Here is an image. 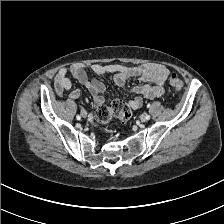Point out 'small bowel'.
<instances>
[{
    "mask_svg": "<svg viewBox=\"0 0 224 224\" xmlns=\"http://www.w3.org/2000/svg\"><path fill=\"white\" fill-rule=\"evenodd\" d=\"M87 69H90L96 75H113L114 82L118 87H125L126 81L135 78L143 84L133 86L129 91L135 94V97L128 101L127 105L131 110H137L142 107L143 99H154L164 95L163 84L167 79L169 70L161 64L147 63L138 66H126L121 64H73L69 67L61 68L54 81L56 93L61 96L64 92H70L71 99L80 97V90H71V81L68 74L73 77L85 88L89 90L94 99L96 107L104 103L105 85L96 79H90L87 75Z\"/></svg>",
    "mask_w": 224,
    "mask_h": 224,
    "instance_id": "small-bowel-1",
    "label": "small bowel"
}]
</instances>
